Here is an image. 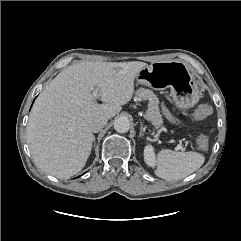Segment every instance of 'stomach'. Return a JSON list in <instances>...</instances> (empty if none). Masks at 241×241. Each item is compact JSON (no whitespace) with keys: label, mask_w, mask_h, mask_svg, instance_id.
Returning a JSON list of instances; mask_svg holds the SVG:
<instances>
[{"label":"stomach","mask_w":241,"mask_h":241,"mask_svg":"<svg viewBox=\"0 0 241 241\" xmlns=\"http://www.w3.org/2000/svg\"><path fill=\"white\" fill-rule=\"evenodd\" d=\"M136 79L139 84L155 90L170 88L178 108L187 109L198 102V86L186 64L181 61L154 62L141 69Z\"/></svg>","instance_id":"1"}]
</instances>
